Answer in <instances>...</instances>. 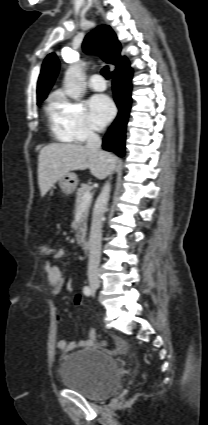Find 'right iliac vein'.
<instances>
[{
  "instance_id": "1",
  "label": "right iliac vein",
  "mask_w": 208,
  "mask_h": 425,
  "mask_svg": "<svg viewBox=\"0 0 208 425\" xmlns=\"http://www.w3.org/2000/svg\"><path fill=\"white\" fill-rule=\"evenodd\" d=\"M90 286H91V288H92V289H94V290H96V289L99 287L98 283H96V282H92V283L90 284Z\"/></svg>"
}]
</instances>
